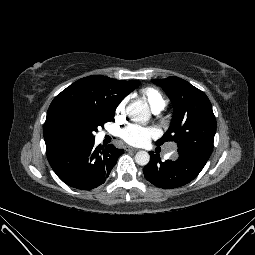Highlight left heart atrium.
<instances>
[{
    "instance_id": "1",
    "label": "left heart atrium",
    "mask_w": 255,
    "mask_h": 255,
    "mask_svg": "<svg viewBox=\"0 0 255 255\" xmlns=\"http://www.w3.org/2000/svg\"><path fill=\"white\" fill-rule=\"evenodd\" d=\"M157 132L154 128L142 127L139 125H129L121 132V137L125 142L134 146L145 145Z\"/></svg>"
}]
</instances>
